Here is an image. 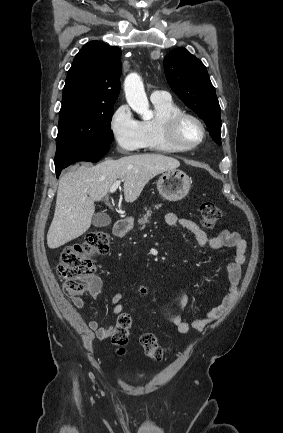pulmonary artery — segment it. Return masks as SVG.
I'll use <instances>...</instances> for the list:
<instances>
[{
	"instance_id": "pulmonary-artery-1",
	"label": "pulmonary artery",
	"mask_w": 283,
	"mask_h": 433,
	"mask_svg": "<svg viewBox=\"0 0 283 433\" xmlns=\"http://www.w3.org/2000/svg\"><path fill=\"white\" fill-rule=\"evenodd\" d=\"M167 94L168 93L166 91L153 90L150 93V100H151V102H157V101H161V100H166V99H168Z\"/></svg>"
}]
</instances>
